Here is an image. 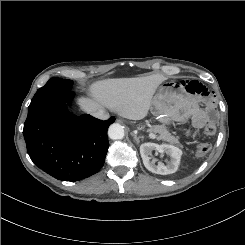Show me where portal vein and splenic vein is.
<instances>
[{"label":"portal vein and splenic vein","mask_w":245,"mask_h":245,"mask_svg":"<svg viewBox=\"0 0 245 245\" xmlns=\"http://www.w3.org/2000/svg\"><path fill=\"white\" fill-rule=\"evenodd\" d=\"M149 137L152 138V139L157 138V136L155 134H153L152 132L149 133Z\"/></svg>","instance_id":"18ae733b"}]
</instances>
